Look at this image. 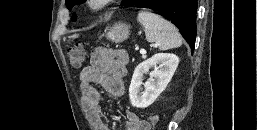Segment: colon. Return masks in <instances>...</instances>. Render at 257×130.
Segmentation results:
<instances>
[{
  "instance_id": "colon-1",
  "label": "colon",
  "mask_w": 257,
  "mask_h": 130,
  "mask_svg": "<svg viewBox=\"0 0 257 130\" xmlns=\"http://www.w3.org/2000/svg\"><path fill=\"white\" fill-rule=\"evenodd\" d=\"M85 58V50L81 45H77L68 50V60L74 68H80L85 61ZM159 121L160 116L158 114H152L149 117V122L153 130L156 128Z\"/></svg>"
}]
</instances>
